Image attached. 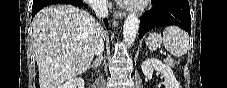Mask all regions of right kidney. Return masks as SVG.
Masks as SVG:
<instances>
[{"label": "right kidney", "mask_w": 227, "mask_h": 88, "mask_svg": "<svg viewBox=\"0 0 227 88\" xmlns=\"http://www.w3.org/2000/svg\"><path fill=\"white\" fill-rule=\"evenodd\" d=\"M84 80L81 77H76L66 81L63 85L58 88H84Z\"/></svg>", "instance_id": "right-kidney-1"}]
</instances>
